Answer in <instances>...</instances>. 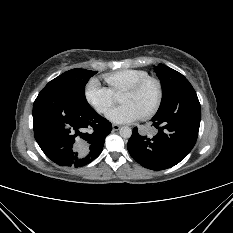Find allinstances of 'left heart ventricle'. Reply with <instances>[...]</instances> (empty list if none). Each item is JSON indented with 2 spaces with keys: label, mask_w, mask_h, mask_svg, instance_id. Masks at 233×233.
Returning <instances> with one entry per match:
<instances>
[{
  "label": "left heart ventricle",
  "mask_w": 233,
  "mask_h": 233,
  "mask_svg": "<svg viewBox=\"0 0 233 233\" xmlns=\"http://www.w3.org/2000/svg\"><path fill=\"white\" fill-rule=\"evenodd\" d=\"M157 95V86L151 82L139 92H124L120 97V102L134 105L143 115L154 105Z\"/></svg>",
  "instance_id": "left-heart-ventricle-1"
}]
</instances>
